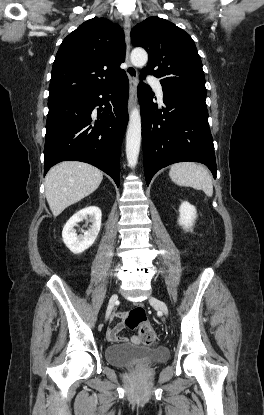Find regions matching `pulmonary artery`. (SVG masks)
<instances>
[{"mask_svg": "<svg viewBox=\"0 0 264 415\" xmlns=\"http://www.w3.org/2000/svg\"><path fill=\"white\" fill-rule=\"evenodd\" d=\"M149 79H150V81H151V83L154 87V90H155L156 94L159 97H162L163 96V90H162L160 82L157 79L152 78V77H149Z\"/></svg>", "mask_w": 264, "mask_h": 415, "instance_id": "pulmonary-artery-1", "label": "pulmonary artery"}]
</instances>
